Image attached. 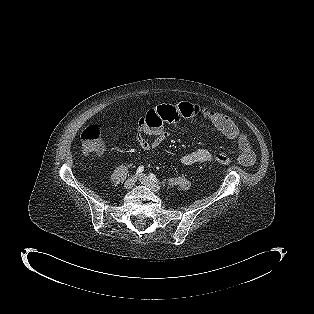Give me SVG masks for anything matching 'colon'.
<instances>
[{
	"label": "colon",
	"mask_w": 314,
	"mask_h": 314,
	"mask_svg": "<svg viewBox=\"0 0 314 314\" xmlns=\"http://www.w3.org/2000/svg\"><path fill=\"white\" fill-rule=\"evenodd\" d=\"M81 144L82 150L86 155H95L103 152L102 130L96 125L88 126L81 133ZM214 159L222 165H229L231 162L230 158L223 153L215 154Z\"/></svg>",
	"instance_id": "obj_1"
}]
</instances>
